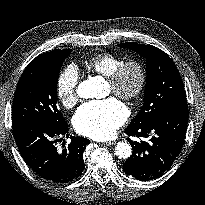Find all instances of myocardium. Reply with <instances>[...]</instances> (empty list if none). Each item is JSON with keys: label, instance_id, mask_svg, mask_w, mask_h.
Instances as JSON below:
<instances>
[{"label": "myocardium", "instance_id": "f54148a6", "mask_svg": "<svg viewBox=\"0 0 205 205\" xmlns=\"http://www.w3.org/2000/svg\"><path fill=\"white\" fill-rule=\"evenodd\" d=\"M134 69L137 73V82L132 89L124 87L126 73ZM111 91L126 101L137 100L143 93L147 83V70L145 65L137 59L123 61L116 70L107 77Z\"/></svg>", "mask_w": 205, "mask_h": 205}]
</instances>
